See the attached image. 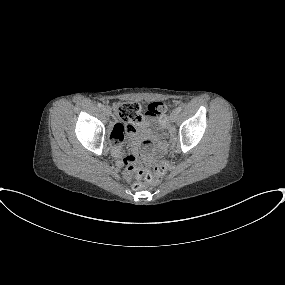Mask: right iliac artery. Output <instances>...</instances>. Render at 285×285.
<instances>
[{
  "mask_svg": "<svg viewBox=\"0 0 285 285\" xmlns=\"http://www.w3.org/2000/svg\"><path fill=\"white\" fill-rule=\"evenodd\" d=\"M97 106H98L99 108H101V107H102V104H101V103H98Z\"/></svg>",
  "mask_w": 285,
  "mask_h": 285,
  "instance_id": "1",
  "label": "right iliac artery"
}]
</instances>
